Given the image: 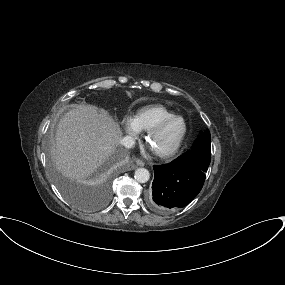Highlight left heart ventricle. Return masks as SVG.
Returning a JSON list of instances; mask_svg holds the SVG:
<instances>
[{
  "instance_id": "obj_1",
  "label": "left heart ventricle",
  "mask_w": 285,
  "mask_h": 285,
  "mask_svg": "<svg viewBox=\"0 0 285 285\" xmlns=\"http://www.w3.org/2000/svg\"><path fill=\"white\" fill-rule=\"evenodd\" d=\"M183 122L174 120L157 133L150 141L153 150L163 151L172 147L183 131Z\"/></svg>"
}]
</instances>
